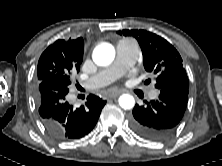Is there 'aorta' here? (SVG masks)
I'll return each instance as SVG.
<instances>
[{"label": "aorta", "instance_id": "762f6f07", "mask_svg": "<svg viewBox=\"0 0 222 166\" xmlns=\"http://www.w3.org/2000/svg\"><path fill=\"white\" fill-rule=\"evenodd\" d=\"M93 61L99 66L111 64L115 58V49L109 43H102L95 47L93 51ZM119 105L125 110H130L135 106V99L130 94H123L119 97Z\"/></svg>", "mask_w": 222, "mask_h": 166}]
</instances>
